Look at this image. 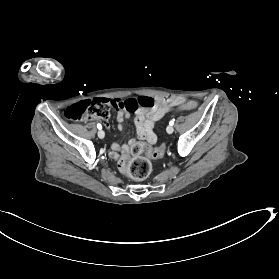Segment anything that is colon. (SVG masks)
<instances>
[{"label":"colon","instance_id":"obj_1","mask_svg":"<svg viewBox=\"0 0 279 279\" xmlns=\"http://www.w3.org/2000/svg\"><path fill=\"white\" fill-rule=\"evenodd\" d=\"M155 104V99L149 96H140L126 100L96 98L71 105L65 110L64 114L72 121H79L89 117L105 120L109 117L112 108L135 112L140 109H152ZM197 107L198 103L195 101H187L179 106L180 109L184 110H195ZM164 153L165 146L163 144L151 147L135 142L131 146V155L125 154L121 157L119 161L120 170L124 175L133 180H144L150 175L152 170L150 159L161 158Z\"/></svg>","mask_w":279,"mask_h":279}]
</instances>
